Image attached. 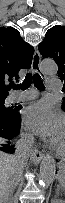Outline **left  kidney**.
<instances>
[{"mask_svg": "<svg viewBox=\"0 0 65 203\" xmlns=\"http://www.w3.org/2000/svg\"><path fill=\"white\" fill-rule=\"evenodd\" d=\"M52 203H64V201H62V200H58V201H56V202H52Z\"/></svg>", "mask_w": 65, "mask_h": 203, "instance_id": "obj_1", "label": "left kidney"}]
</instances>
